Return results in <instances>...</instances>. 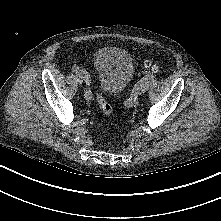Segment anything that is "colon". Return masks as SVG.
<instances>
[{
    "label": "colon",
    "instance_id": "5ec220e1",
    "mask_svg": "<svg viewBox=\"0 0 221 221\" xmlns=\"http://www.w3.org/2000/svg\"><path fill=\"white\" fill-rule=\"evenodd\" d=\"M146 64H147V66L151 67L153 71L158 70V66L156 63L148 61ZM97 101H98V105H99V108H100L102 114L106 117H109L112 114V106L109 104V102L104 97L101 90H99V89L97 92Z\"/></svg>",
    "mask_w": 221,
    "mask_h": 221
}]
</instances>
